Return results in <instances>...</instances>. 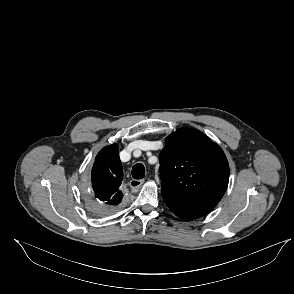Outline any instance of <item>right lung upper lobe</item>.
<instances>
[{
    "label": "right lung upper lobe",
    "instance_id": "cb5924a9",
    "mask_svg": "<svg viewBox=\"0 0 294 294\" xmlns=\"http://www.w3.org/2000/svg\"><path fill=\"white\" fill-rule=\"evenodd\" d=\"M123 171L116 144L104 147L96 156L92 168V188L97 205L96 213L113 212L122 201L120 185Z\"/></svg>",
    "mask_w": 294,
    "mask_h": 294
}]
</instances>
